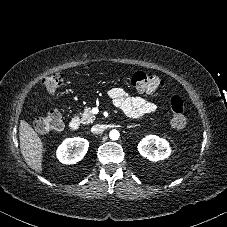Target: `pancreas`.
Returning a JSON list of instances; mask_svg holds the SVG:
<instances>
[{
	"instance_id": "cf45deb5",
	"label": "pancreas",
	"mask_w": 227,
	"mask_h": 227,
	"mask_svg": "<svg viewBox=\"0 0 227 227\" xmlns=\"http://www.w3.org/2000/svg\"><path fill=\"white\" fill-rule=\"evenodd\" d=\"M96 119V116L93 114L91 108H85L83 113L81 114V123L89 124L93 123Z\"/></svg>"
}]
</instances>
